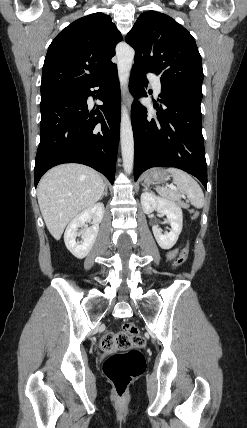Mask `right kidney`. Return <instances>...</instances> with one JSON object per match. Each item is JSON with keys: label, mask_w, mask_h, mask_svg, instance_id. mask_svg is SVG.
I'll use <instances>...</instances> for the list:
<instances>
[{"label": "right kidney", "mask_w": 247, "mask_h": 428, "mask_svg": "<svg viewBox=\"0 0 247 428\" xmlns=\"http://www.w3.org/2000/svg\"><path fill=\"white\" fill-rule=\"evenodd\" d=\"M104 215V204L96 203L82 211L67 226L64 233V242L67 249L78 259H83L92 249L99 231V224ZM93 219V226L78 232L79 227H83L85 222ZM81 236L79 243L76 238Z\"/></svg>", "instance_id": "right-kidney-1"}]
</instances>
